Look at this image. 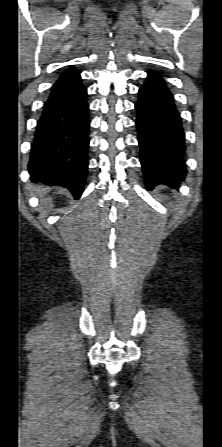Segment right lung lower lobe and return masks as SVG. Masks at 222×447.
<instances>
[{
    "label": "right lung lower lobe",
    "instance_id": "obj_1",
    "mask_svg": "<svg viewBox=\"0 0 222 447\" xmlns=\"http://www.w3.org/2000/svg\"><path fill=\"white\" fill-rule=\"evenodd\" d=\"M89 104L80 72L66 70L53 85L36 126L29 173L67 187L78 199L88 170Z\"/></svg>",
    "mask_w": 222,
    "mask_h": 447
}]
</instances>
